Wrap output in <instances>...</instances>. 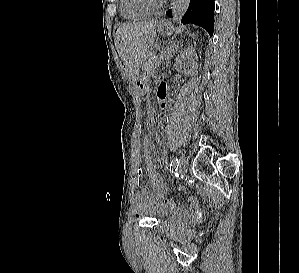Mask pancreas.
Segmentation results:
<instances>
[{
  "mask_svg": "<svg viewBox=\"0 0 299 273\" xmlns=\"http://www.w3.org/2000/svg\"><path fill=\"white\" fill-rule=\"evenodd\" d=\"M153 56V52H149L147 53L143 61V69L147 75L153 74L160 63V59H155Z\"/></svg>",
  "mask_w": 299,
  "mask_h": 273,
  "instance_id": "pancreas-1",
  "label": "pancreas"
}]
</instances>
